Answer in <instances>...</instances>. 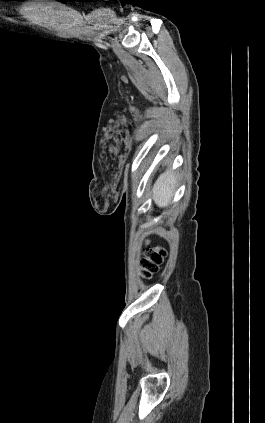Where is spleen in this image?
I'll return each mask as SVG.
<instances>
[{
	"label": "spleen",
	"instance_id": "1",
	"mask_svg": "<svg viewBox=\"0 0 265 423\" xmlns=\"http://www.w3.org/2000/svg\"><path fill=\"white\" fill-rule=\"evenodd\" d=\"M177 183V176L166 171L161 175L153 188L154 201L159 207H166L174 192V187Z\"/></svg>",
	"mask_w": 265,
	"mask_h": 423
}]
</instances>
